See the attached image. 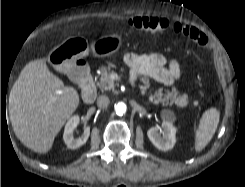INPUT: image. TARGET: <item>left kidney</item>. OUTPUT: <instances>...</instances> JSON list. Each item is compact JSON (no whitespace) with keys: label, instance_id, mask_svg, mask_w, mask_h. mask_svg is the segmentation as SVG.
I'll use <instances>...</instances> for the list:
<instances>
[{"label":"left kidney","instance_id":"obj_1","mask_svg":"<svg viewBox=\"0 0 245 187\" xmlns=\"http://www.w3.org/2000/svg\"><path fill=\"white\" fill-rule=\"evenodd\" d=\"M161 117L163 120L161 127L155 126L150 128L147 135L157 149L167 151L172 149L176 143V127L173 124L176 117L171 110H163Z\"/></svg>","mask_w":245,"mask_h":187}]
</instances>
